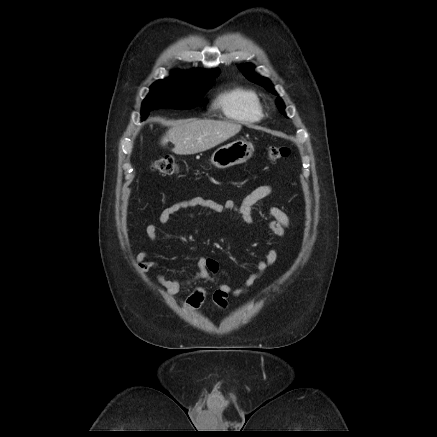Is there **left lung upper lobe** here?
<instances>
[{
  "instance_id": "obj_1",
  "label": "left lung upper lobe",
  "mask_w": 437,
  "mask_h": 437,
  "mask_svg": "<svg viewBox=\"0 0 437 437\" xmlns=\"http://www.w3.org/2000/svg\"><path fill=\"white\" fill-rule=\"evenodd\" d=\"M238 68L243 72L245 77L248 78L250 81L257 83L261 86H264L267 90H269L273 94L278 95L276 93V91L274 90L273 85L271 84V82L267 78L258 76V75L253 73V69H254L253 65L244 64V65H239ZM276 105H277L279 111L285 115V112H284L285 106H284V103L280 97L277 98Z\"/></svg>"
}]
</instances>
